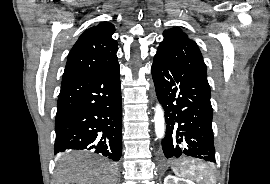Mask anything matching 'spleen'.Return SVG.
Returning <instances> with one entry per match:
<instances>
[{
  "label": "spleen",
  "mask_w": 270,
  "mask_h": 184,
  "mask_svg": "<svg viewBox=\"0 0 270 184\" xmlns=\"http://www.w3.org/2000/svg\"><path fill=\"white\" fill-rule=\"evenodd\" d=\"M176 175L182 178L195 179L199 184H212L214 182L212 172L204 164L191 165L183 169L181 174Z\"/></svg>",
  "instance_id": "1"
}]
</instances>
